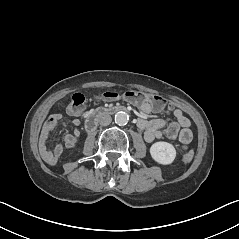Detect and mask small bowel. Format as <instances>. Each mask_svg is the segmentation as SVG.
Wrapping results in <instances>:
<instances>
[{
    "mask_svg": "<svg viewBox=\"0 0 239 239\" xmlns=\"http://www.w3.org/2000/svg\"><path fill=\"white\" fill-rule=\"evenodd\" d=\"M140 110L143 114H149L152 111H158L154 109L148 102L142 103ZM173 116L175 121L168 125L166 121L161 118H155L151 120L140 118L138 120V126L144 131L145 140L147 142H152L155 139L167 137L169 139L178 140L185 149L193 138L192 131L190 130L191 122L179 108L173 110ZM68 122L75 126V129L73 133L66 134L63 140L64 146L68 149H71L76 145L80 135V131L78 129L80 126L79 119L75 118L69 121L62 114H54L48 118L41 129L39 138V151L42 159L49 165L56 164L64 151V146L59 143L56 144L52 150L48 148L50 133L57 125L62 124L66 126Z\"/></svg>",
    "mask_w": 239,
    "mask_h": 239,
    "instance_id": "c3829d8e",
    "label": "small bowel"
}]
</instances>
